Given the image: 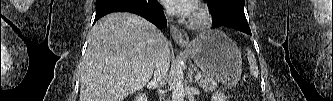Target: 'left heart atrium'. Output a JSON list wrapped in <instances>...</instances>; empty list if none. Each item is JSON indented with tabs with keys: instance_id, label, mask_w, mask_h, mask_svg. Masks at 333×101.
Listing matches in <instances>:
<instances>
[{
	"instance_id": "1",
	"label": "left heart atrium",
	"mask_w": 333,
	"mask_h": 101,
	"mask_svg": "<svg viewBox=\"0 0 333 101\" xmlns=\"http://www.w3.org/2000/svg\"><path fill=\"white\" fill-rule=\"evenodd\" d=\"M164 4L168 11L177 14L189 15L194 9V3L191 0H165Z\"/></svg>"
}]
</instances>
